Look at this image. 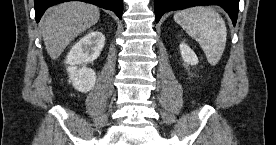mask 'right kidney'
Instances as JSON below:
<instances>
[{
  "mask_svg": "<svg viewBox=\"0 0 276 145\" xmlns=\"http://www.w3.org/2000/svg\"><path fill=\"white\" fill-rule=\"evenodd\" d=\"M105 44V36L99 31H90L69 51L66 64H69V82L80 92H89L96 83V73L88 64L96 60Z\"/></svg>",
  "mask_w": 276,
  "mask_h": 145,
  "instance_id": "right-kidney-1",
  "label": "right kidney"
}]
</instances>
